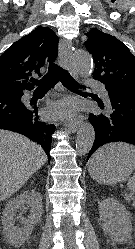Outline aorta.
I'll use <instances>...</instances> for the list:
<instances>
[{"label":"aorta","instance_id":"1","mask_svg":"<svg viewBox=\"0 0 135 249\" xmlns=\"http://www.w3.org/2000/svg\"><path fill=\"white\" fill-rule=\"evenodd\" d=\"M73 61L78 72L85 77L92 73L93 63L90 55L84 50H77L73 54ZM95 131L89 122L84 123L77 133L76 151L79 155L87 154L94 143Z\"/></svg>","mask_w":135,"mask_h":249}]
</instances>
